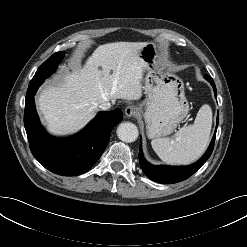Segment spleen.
<instances>
[{"instance_id": "obj_1", "label": "spleen", "mask_w": 247, "mask_h": 247, "mask_svg": "<svg viewBox=\"0 0 247 247\" xmlns=\"http://www.w3.org/2000/svg\"><path fill=\"white\" fill-rule=\"evenodd\" d=\"M212 127V110L204 104L192 125L182 127L173 138L151 141L153 150L167 164L181 165L196 161L206 150Z\"/></svg>"}]
</instances>
